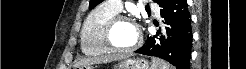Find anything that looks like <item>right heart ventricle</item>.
Returning <instances> with one entry per match:
<instances>
[{
	"label": "right heart ventricle",
	"instance_id": "obj_1",
	"mask_svg": "<svg viewBox=\"0 0 246 69\" xmlns=\"http://www.w3.org/2000/svg\"><path fill=\"white\" fill-rule=\"evenodd\" d=\"M117 13L104 3L88 14L81 33V49L84 54L104 56L110 53L104 41V31L109 19Z\"/></svg>",
	"mask_w": 246,
	"mask_h": 69
}]
</instances>
